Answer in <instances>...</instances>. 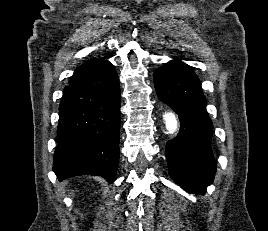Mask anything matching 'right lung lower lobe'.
<instances>
[{"label": "right lung lower lobe", "instance_id": "right-lung-lower-lobe-1", "mask_svg": "<svg viewBox=\"0 0 268 231\" xmlns=\"http://www.w3.org/2000/svg\"><path fill=\"white\" fill-rule=\"evenodd\" d=\"M120 103L118 76L106 60L65 87L53 161L60 181L88 174L114 182L120 156Z\"/></svg>", "mask_w": 268, "mask_h": 231}]
</instances>
